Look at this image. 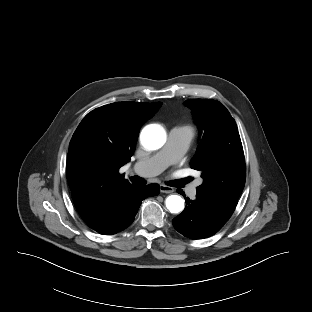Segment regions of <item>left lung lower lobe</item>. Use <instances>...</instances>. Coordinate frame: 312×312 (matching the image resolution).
<instances>
[{"mask_svg": "<svg viewBox=\"0 0 312 312\" xmlns=\"http://www.w3.org/2000/svg\"><path fill=\"white\" fill-rule=\"evenodd\" d=\"M184 196L182 190H178ZM184 211L173 219L174 228L191 239L214 235L228 221L233 211L219 202L196 195V200L185 198Z\"/></svg>", "mask_w": 312, "mask_h": 312, "instance_id": "0a47b994", "label": "left lung lower lobe"}]
</instances>
